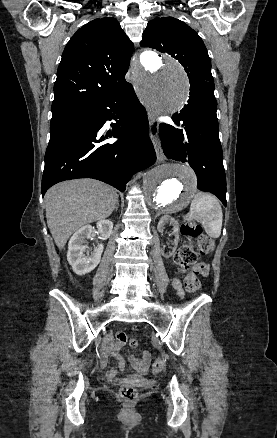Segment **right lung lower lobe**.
<instances>
[{
	"label": "right lung lower lobe",
	"mask_w": 277,
	"mask_h": 438,
	"mask_svg": "<svg viewBox=\"0 0 277 438\" xmlns=\"http://www.w3.org/2000/svg\"><path fill=\"white\" fill-rule=\"evenodd\" d=\"M111 119L116 123L110 129L105 123ZM147 128L146 110L128 82L83 105L50 129L42 195L52 185L76 178L98 179L125 191L133 173L156 161Z\"/></svg>",
	"instance_id": "right-lung-lower-lobe-1"
}]
</instances>
